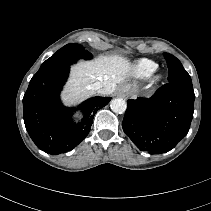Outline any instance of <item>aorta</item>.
I'll return each instance as SVG.
<instances>
[{"instance_id":"obj_1","label":"aorta","mask_w":211,"mask_h":211,"mask_svg":"<svg viewBox=\"0 0 211 211\" xmlns=\"http://www.w3.org/2000/svg\"><path fill=\"white\" fill-rule=\"evenodd\" d=\"M110 106L113 112L121 114L126 111L127 103L122 98H115L111 101Z\"/></svg>"}]
</instances>
